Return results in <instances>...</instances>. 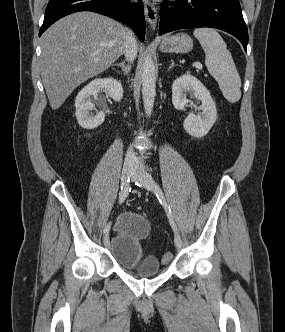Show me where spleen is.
Wrapping results in <instances>:
<instances>
[{
  "label": "spleen",
  "mask_w": 285,
  "mask_h": 332,
  "mask_svg": "<svg viewBox=\"0 0 285 332\" xmlns=\"http://www.w3.org/2000/svg\"><path fill=\"white\" fill-rule=\"evenodd\" d=\"M194 36L205 52V65L218 82L219 88L230 103L241 98V79L232 55L221 35L213 28H197Z\"/></svg>",
  "instance_id": "obj_1"
}]
</instances>
